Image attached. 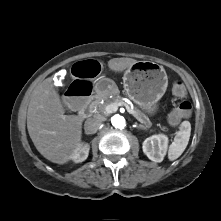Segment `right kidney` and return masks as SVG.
<instances>
[{
  "label": "right kidney",
  "mask_w": 221,
  "mask_h": 221,
  "mask_svg": "<svg viewBox=\"0 0 221 221\" xmlns=\"http://www.w3.org/2000/svg\"><path fill=\"white\" fill-rule=\"evenodd\" d=\"M90 146L86 144H82L73 154L72 160L75 163L83 162L87 159L89 153Z\"/></svg>",
  "instance_id": "right-kidney-1"
}]
</instances>
